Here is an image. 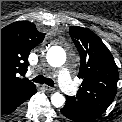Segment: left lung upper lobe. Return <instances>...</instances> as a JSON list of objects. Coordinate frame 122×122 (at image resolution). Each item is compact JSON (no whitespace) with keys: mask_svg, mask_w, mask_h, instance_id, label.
Segmentation results:
<instances>
[{"mask_svg":"<svg viewBox=\"0 0 122 122\" xmlns=\"http://www.w3.org/2000/svg\"><path fill=\"white\" fill-rule=\"evenodd\" d=\"M69 33L80 53L78 77L83 79L74 98L105 111L117 91L118 68L114 58L91 30L71 26Z\"/></svg>","mask_w":122,"mask_h":122,"instance_id":"5c2ea615","label":"left lung upper lobe"}]
</instances>
